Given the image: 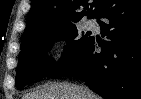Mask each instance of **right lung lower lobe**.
Wrapping results in <instances>:
<instances>
[{
	"label": "right lung lower lobe",
	"instance_id": "obj_1",
	"mask_svg": "<svg viewBox=\"0 0 141 99\" xmlns=\"http://www.w3.org/2000/svg\"><path fill=\"white\" fill-rule=\"evenodd\" d=\"M98 18L108 40L91 37L55 76L78 78L105 99H141V0H113Z\"/></svg>",
	"mask_w": 141,
	"mask_h": 99
}]
</instances>
